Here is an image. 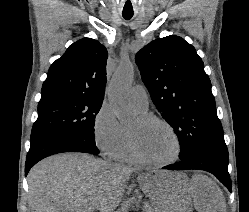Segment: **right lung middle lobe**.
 <instances>
[{"instance_id":"1","label":"right lung middle lobe","mask_w":249,"mask_h":212,"mask_svg":"<svg viewBox=\"0 0 249 212\" xmlns=\"http://www.w3.org/2000/svg\"><path fill=\"white\" fill-rule=\"evenodd\" d=\"M101 106L102 100L84 95L41 96L31 140L37 136L63 132L75 134L95 145V117Z\"/></svg>"}]
</instances>
